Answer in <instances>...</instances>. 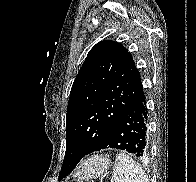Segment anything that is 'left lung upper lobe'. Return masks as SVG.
I'll return each mask as SVG.
<instances>
[{
  "mask_svg": "<svg viewBox=\"0 0 196 182\" xmlns=\"http://www.w3.org/2000/svg\"><path fill=\"white\" fill-rule=\"evenodd\" d=\"M142 90L138 69L128 50L115 41L97 43L89 51L71 88L65 155L76 146L83 153H92ZM76 165L74 161H64L59 180Z\"/></svg>",
  "mask_w": 196,
  "mask_h": 182,
  "instance_id": "obj_1",
  "label": "left lung upper lobe"
}]
</instances>
